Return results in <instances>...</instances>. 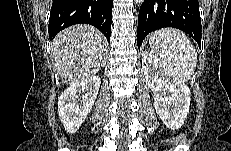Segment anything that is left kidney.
<instances>
[{
	"instance_id": "obj_1",
	"label": "left kidney",
	"mask_w": 231,
	"mask_h": 151,
	"mask_svg": "<svg viewBox=\"0 0 231 151\" xmlns=\"http://www.w3.org/2000/svg\"><path fill=\"white\" fill-rule=\"evenodd\" d=\"M145 80L154 94V107L167 128H180L189 112L191 93L172 68L152 53H142Z\"/></svg>"
}]
</instances>
